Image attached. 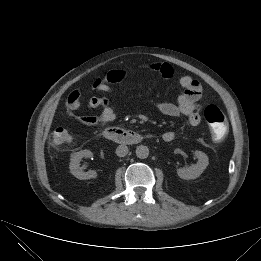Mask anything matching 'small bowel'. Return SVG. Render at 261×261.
<instances>
[{"instance_id":"c3829d8e","label":"small bowel","mask_w":261,"mask_h":261,"mask_svg":"<svg viewBox=\"0 0 261 261\" xmlns=\"http://www.w3.org/2000/svg\"><path fill=\"white\" fill-rule=\"evenodd\" d=\"M151 70L157 72L165 79H170L174 75L173 67L168 63H156L148 66ZM179 84L181 92L175 103L160 102L157 109L164 115L169 117L188 116L189 123L192 126H198L201 122V115L198 109V102L202 96V87L200 83L188 75L180 78ZM97 92L111 93L112 89L107 82H102L95 87ZM79 90L72 91L66 100V106L70 111H78L81 109L102 108L99 115H80L77 120L86 126L105 125L116 119L117 113L109 98L91 97L88 101L82 102ZM176 138L174 131H166L162 134V139L171 142Z\"/></svg>"}]
</instances>
